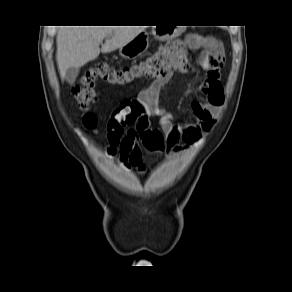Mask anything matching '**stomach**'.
Segmentation results:
<instances>
[{
	"mask_svg": "<svg viewBox=\"0 0 292 292\" xmlns=\"http://www.w3.org/2000/svg\"><path fill=\"white\" fill-rule=\"evenodd\" d=\"M152 33L158 40H167L177 36V30L165 26H154ZM149 47V38L146 32H141L132 41L120 48V55L126 59H134L143 54Z\"/></svg>",
	"mask_w": 292,
	"mask_h": 292,
	"instance_id": "stomach-1",
	"label": "stomach"
}]
</instances>
